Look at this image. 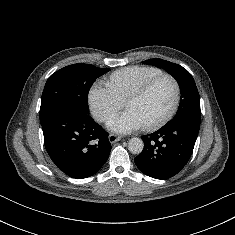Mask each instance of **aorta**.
I'll return each instance as SVG.
<instances>
[{"instance_id": "1", "label": "aorta", "mask_w": 235, "mask_h": 235, "mask_svg": "<svg viewBox=\"0 0 235 235\" xmlns=\"http://www.w3.org/2000/svg\"><path fill=\"white\" fill-rule=\"evenodd\" d=\"M144 142L141 138L133 137L128 142V149L133 154H140L143 151Z\"/></svg>"}]
</instances>
